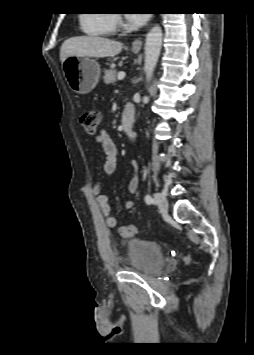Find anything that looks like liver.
I'll return each mask as SVG.
<instances>
[{
	"label": "liver",
	"instance_id": "1",
	"mask_svg": "<svg viewBox=\"0 0 254 355\" xmlns=\"http://www.w3.org/2000/svg\"><path fill=\"white\" fill-rule=\"evenodd\" d=\"M123 44L98 36H79L65 40L60 48L63 63L68 57H112L121 52Z\"/></svg>",
	"mask_w": 254,
	"mask_h": 355
}]
</instances>
